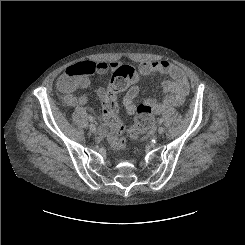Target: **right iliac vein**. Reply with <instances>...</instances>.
<instances>
[{
	"instance_id": "right-iliac-vein-1",
	"label": "right iliac vein",
	"mask_w": 245,
	"mask_h": 245,
	"mask_svg": "<svg viewBox=\"0 0 245 245\" xmlns=\"http://www.w3.org/2000/svg\"><path fill=\"white\" fill-rule=\"evenodd\" d=\"M89 129L92 133L96 132V126L94 124H90Z\"/></svg>"
}]
</instances>
